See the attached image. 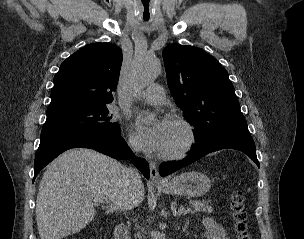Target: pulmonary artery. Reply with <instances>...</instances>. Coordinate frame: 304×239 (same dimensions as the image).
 Masks as SVG:
<instances>
[{"label":"pulmonary artery","instance_id":"1","mask_svg":"<svg viewBox=\"0 0 304 239\" xmlns=\"http://www.w3.org/2000/svg\"><path fill=\"white\" fill-rule=\"evenodd\" d=\"M139 98L150 105H161L165 102V93L162 86L152 84L141 92Z\"/></svg>","mask_w":304,"mask_h":239}]
</instances>
